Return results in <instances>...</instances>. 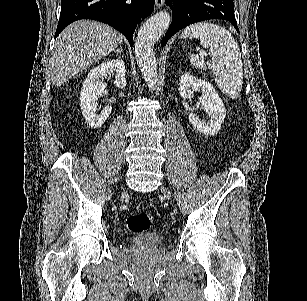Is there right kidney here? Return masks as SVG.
Instances as JSON below:
<instances>
[{"label": "right kidney", "mask_w": 307, "mask_h": 301, "mask_svg": "<svg viewBox=\"0 0 307 301\" xmlns=\"http://www.w3.org/2000/svg\"><path fill=\"white\" fill-rule=\"evenodd\" d=\"M111 74H114L115 86L125 88L127 82L124 60L113 58V60H106V62L94 66L88 72L80 90L81 112L91 128H100L112 112V106H104L101 112H96L99 94L105 90L106 86L103 78H108Z\"/></svg>", "instance_id": "1"}]
</instances>
